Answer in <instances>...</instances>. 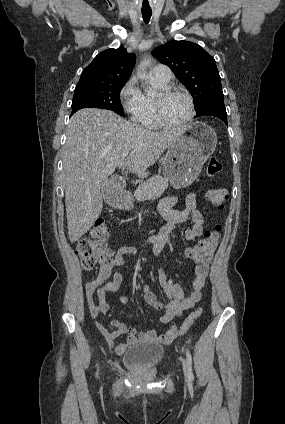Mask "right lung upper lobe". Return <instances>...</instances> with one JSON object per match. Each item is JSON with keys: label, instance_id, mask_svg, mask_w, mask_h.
Returning a JSON list of instances; mask_svg holds the SVG:
<instances>
[{"label": "right lung upper lobe", "instance_id": "obj_1", "mask_svg": "<svg viewBox=\"0 0 285 424\" xmlns=\"http://www.w3.org/2000/svg\"><path fill=\"white\" fill-rule=\"evenodd\" d=\"M136 56L124 47L99 53L81 74L77 86L125 83L129 79Z\"/></svg>", "mask_w": 285, "mask_h": 424}]
</instances>
